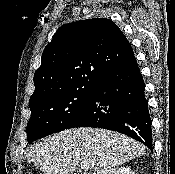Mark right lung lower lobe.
<instances>
[{
    "instance_id": "obj_1",
    "label": "right lung lower lobe",
    "mask_w": 175,
    "mask_h": 174,
    "mask_svg": "<svg viewBox=\"0 0 175 174\" xmlns=\"http://www.w3.org/2000/svg\"><path fill=\"white\" fill-rule=\"evenodd\" d=\"M76 127L114 130L152 151L151 118L135 57L109 70L94 85L83 111L66 129Z\"/></svg>"
}]
</instances>
